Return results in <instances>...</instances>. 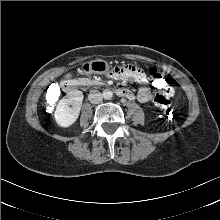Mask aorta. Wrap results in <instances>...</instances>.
<instances>
[{"label":"aorta","instance_id":"obj_1","mask_svg":"<svg viewBox=\"0 0 220 220\" xmlns=\"http://www.w3.org/2000/svg\"><path fill=\"white\" fill-rule=\"evenodd\" d=\"M112 96H113L112 91H110V90H108V89H106V90L103 91V97H104L105 99H111Z\"/></svg>","mask_w":220,"mask_h":220}]
</instances>
